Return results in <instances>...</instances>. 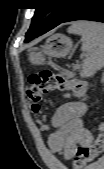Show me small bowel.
<instances>
[{"mask_svg": "<svg viewBox=\"0 0 104 169\" xmlns=\"http://www.w3.org/2000/svg\"><path fill=\"white\" fill-rule=\"evenodd\" d=\"M86 110L83 103L68 101L59 106L52 117L55 129L49 135V147L61 152L67 160L75 155L78 146L90 144L93 139V132L85 126Z\"/></svg>", "mask_w": 104, "mask_h": 169, "instance_id": "obj_1", "label": "small bowel"}]
</instances>
